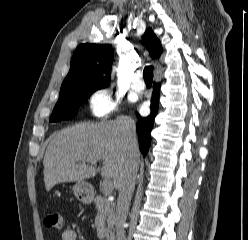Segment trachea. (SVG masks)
<instances>
[{"mask_svg":"<svg viewBox=\"0 0 248 240\" xmlns=\"http://www.w3.org/2000/svg\"><path fill=\"white\" fill-rule=\"evenodd\" d=\"M143 77L146 84H152L153 82V67L146 66L143 71Z\"/></svg>","mask_w":248,"mask_h":240,"instance_id":"obj_1","label":"trachea"}]
</instances>
